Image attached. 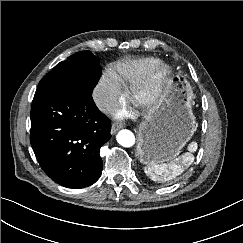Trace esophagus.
<instances>
[{"mask_svg":"<svg viewBox=\"0 0 243 243\" xmlns=\"http://www.w3.org/2000/svg\"><path fill=\"white\" fill-rule=\"evenodd\" d=\"M122 127H123L122 123H115V124H113L112 128H111V134L117 133V131L120 130Z\"/></svg>","mask_w":243,"mask_h":243,"instance_id":"1","label":"esophagus"}]
</instances>
